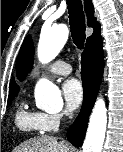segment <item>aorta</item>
<instances>
[{
  "label": "aorta",
  "mask_w": 123,
  "mask_h": 152,
  "mask_svg": "<svg viewBox=\"0 0 123 152\" xmlns=\"http://www.w3.org/2000/svg\"><path fill=\"white\" fill-rule=\"evenodd\" d=\"M69 35L65 24L54 25L41 31L37 48L38 60L42 64L51 62L62 50ZM36 106L46 112H57L63 107L61 92L46 79L40 80L35 88ZM107 126V109L102 98H98L90 116L83 152H101Z\"/></svg>",
  "instance_id": "obj_1"
}]
</instances>
